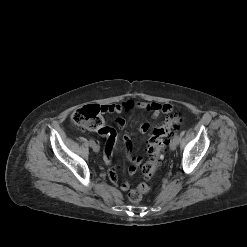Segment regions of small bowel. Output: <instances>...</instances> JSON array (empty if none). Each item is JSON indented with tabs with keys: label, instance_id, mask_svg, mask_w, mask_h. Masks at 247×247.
I'll list each match as a JSON object with an SVG mask.
<instances>
[{
	"label": "small bowel",
	"instance_id": "c3829d8e",
	"mask_svg": "<svg viewBox=\"0 0 247 247\" xmlns=\"http://www.w3.org/2000/svg\"><path fill=\"white\" fill-rule=\"evenodd\" d=\"M103 107L105 108V112L117 114H121L131 109L145 110L150 112L153 118H158L161 114H169L172 112V106L170 104H160L156 102H142L132 100L123 102L121 104L105 105ZM115 123L118 128H123L125 126V120L121 117L117 118ZM150 127L151 126L149 123H143L140 125L138 131L140 133H146L149 131ZM98 133L107 138V143L103 152V160L105 164L109 165L111 163L113 151L116 145L117 132L112 127L103 126V128ZM124 143L126 145V150L131 161L129 173L134 174L137 171L138 166L142 163V157L132 156L130 154L131 135L124 136ZM108 177L113 184H119L118 175L115 169L109 170ZM119 185L123 191H127L130 187V183L126 180L120 182Z\"/></svg>",
	"mask_w": 247,
	"mask_h": 247
}]
</instances>
